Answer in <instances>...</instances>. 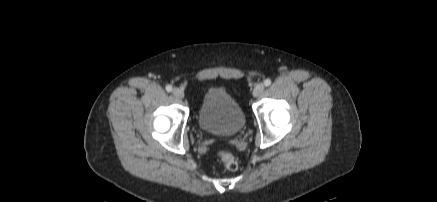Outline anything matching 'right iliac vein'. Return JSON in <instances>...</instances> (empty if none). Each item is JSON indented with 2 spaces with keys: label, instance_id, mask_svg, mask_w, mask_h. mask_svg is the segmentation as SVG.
I'll list each match as a JSON object with an SVG mask.
<instances>
[{
  "label": "right iliac vein",
  "instance_id": "obj_1",
  "mask_svg": "<svg viewBox=\"0 0 437 202\" xmlns=\"http://www.w3.org/2000/svg\"><path fill=\"white\" fill-rule=\"evenodd\" d=\"M173 95L177 99H183L184 98V91L182 89H179V88H174L173 89Z\"/></svg>",
  "mask_w": 437,
  "mask_h": 202
}]
</instances>
